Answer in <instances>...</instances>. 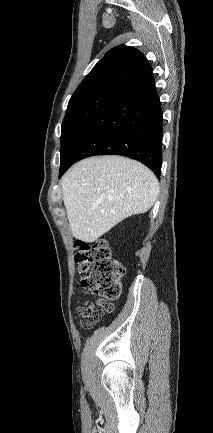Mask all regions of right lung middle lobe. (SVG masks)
Segmentation results:
<instances>
[{"label":"right lung middle lobe","mask_w":213,"mask_h":433,"mask_svg":"<svg viewBox=\"0 0 213 433\" xmlns=\"http://www.w3.org/2000/svg\"><path fill=\"white\" fill-rule=\"evenodd\" d=\"M120 93L104 92L68 103L61 128L62 156L88 123L113 102Z\"/></svg>","instance_id":"dd1d6c3e"}]
</instances>
